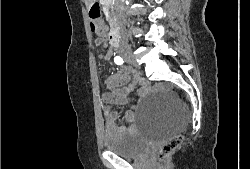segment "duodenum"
<instances>
[{
    "mask_svg": "<svg viewBox=\"0 0 250 169\" xmlns=\"http://www.w3.org/2000/svg\"><path fill=\"white\" fill-rule=\"evenodd\" d=\"M108 40L114 48H119L122 44L120 34L116 29L109 32Z\"/></svg>",
    "mask_w": 250,
    "mask_h": 169,
    "instance_id": "duodenum-1",
    "label": "duodenum"
}]
</instances>
